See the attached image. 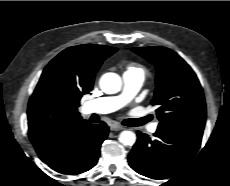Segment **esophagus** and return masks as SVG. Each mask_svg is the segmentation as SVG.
<instances>
[{
	"mask_svg": "<svg viewBox=\"0 0 230 186\" xmlns=\"http://www.w3.org/2000/svg\"><path fill=\"white\" fill-rule=\"evenodd\" d=\"M125 129L123 126L121 125H118V124H113L110 126V130L111 131H120V130H123Z\"/></svg>",
	"mask_w": 230,
	"mask_h": 186,
	"instance_id": "esophagus-1",
	"label": "esophagus"
}]
</instances>
